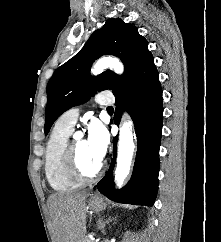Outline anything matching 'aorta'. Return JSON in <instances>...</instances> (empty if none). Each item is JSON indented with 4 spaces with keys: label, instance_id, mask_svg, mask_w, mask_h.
Returning a JSON list of instances; mask_svg holds the SVG:
<instances>
[{
    "label": "aorta",
    "instance_id": "1",
    "mask_svg": "<svg viewBox=\"0 0 221 242\" xmlns=\"http://www.w3.org/2000/svg\"><path fill=\"white\" fill-rule=\"evenodd\" d=\"M106 68H110L117 74H122L124 71V66L119 59L103 57L97 61L91 69V72L98 75ZM134 150L135 144L131 124L128 121H124L119 132L117 165L115 169V180L118 187L122 186L130 172Z\"/></svg>",
    "mask_w": 221,
    "mask_h": 242
}]
</instances>
